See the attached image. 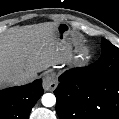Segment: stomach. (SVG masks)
Segmentation results:
<instances>
[{"label": "stomach", "instance_id": "1", "mask_svg": "<svg viewBox=\"0 0 119 119\" xmlns=\"http://www.w3.org/2000/svg\"><path fill=\"white\" fill-rule=\"evenodd\" d=\"M56 38L62 45V60L60 63H71L72 61V52L71 48L67 42L68 36L70 34V28L65 23H59L56 27Z\"/></svg>", "mask_w": 119, "mask_h": 119}]
</instances>
